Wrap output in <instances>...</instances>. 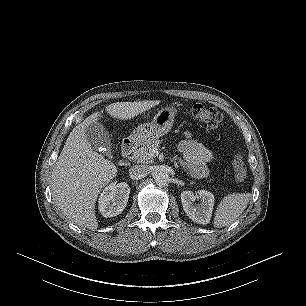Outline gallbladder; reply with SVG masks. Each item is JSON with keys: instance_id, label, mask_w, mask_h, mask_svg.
<instances>
[{"instance_id": "1", "label": "gallbladder", "mask_w": 306, "mask_h": 306, "mask_svg": "<svg viewBox=\"0 0 306 306\" xmlns=\"http://www.w3.org/2000/svg\"><path fill=\"white\" fill-rule=\"evenodd\" d=\"M85 135L92 149H105L108 152L111 147V139L106 128L98 123H92L85 129Z\"/></svg>"}]
</instances>
